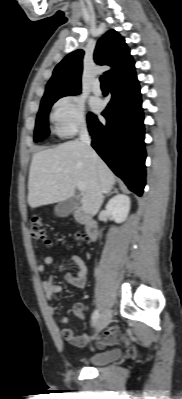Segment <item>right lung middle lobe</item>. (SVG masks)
Wrapping results in <instances>:
<instances>
[{
  "label": "right lung middle lobe",
  "mask_w": 182,
  "mask_h": 399,
  "mask_svg": "<svg viewBox=\"0 0 182 399\" xmlns=\"http://www.w3.org/2000/svg\"><path fill=\"white\" fill-rule=\"evenodd\" d=\"M63 96H67V95H63ZM63 96L42 99L41 105H40V110L37 114L35 133H34V141H40L49 135L48 114H49L50 108L56 100H58L59 98H61Z\"/></svg>",
  "instance_id": "1"
}]
</instances>
